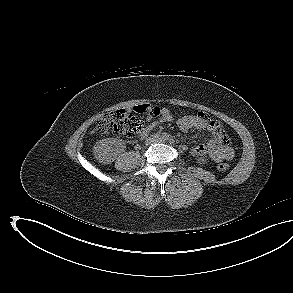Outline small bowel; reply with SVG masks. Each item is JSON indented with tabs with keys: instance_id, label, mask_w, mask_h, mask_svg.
Returning <instances> with one entry per match:
<instances>
[{
	"instance_id": "obj_1",
	"label": "small bowel",
	"mask_w": 293,
	"mask_h": 293,
	"mask_svg": "<svg viewBox=\"0 0 293 293\" xmlns=\"http://www.w3.org/2000/svg\"><path fill=\"white\" fill-rule=\"evenodd\" d=\"M134 111L140 114H146L147 120L149 121V124L143 127L138 134L141 138L146 137L150 131L162 122L173 120V115L167 108H158L143 104L134 107ZM177 125L183 132L191 129H207L212 133V139L191 149L192 155H208L215 162L231 160L234 157V151L230 146L229 139L222 125L212 119L208 114L200 112L197 115L183 116L177 121Z\"/></svg>"
}]
</instances>
